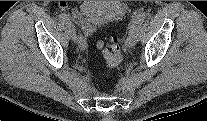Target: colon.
Returning a JSON list of instances; mask_svg holds the SVG:
<instances>
[{"instance_id":"1","label":"colon","mask_w":207,"mask_h":121,"mask_svg":"<svg viewBox=\"0 0 207 121\" xmlns=\"http://www.w3.org/2000/svg\"><path fill=\"white\" fill-rule=\"evenodd\" d=\"M98 45L102 49L103 58L108 67H117L122 62L123 54L117 37L112 36L107 42H100Z\"/></svg>"}]
</instances>
